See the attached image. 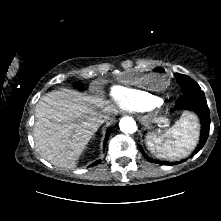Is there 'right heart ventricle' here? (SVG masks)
<instances>
[{
  "instance_id": "obj_1",
  "label": "right heart ventricle",
  "mask_w": 221,
  "mask_h": 221,
  "mask_svg": "<svg viewBox=\"0 0 221 221\" xmlns=\"http://www.w3.org/2000/svg\"><path fill=\"white\" fill-rule=\"evenodd\" d=\"M110 95L120 108L130 111L148 110L162 101L144 90L120 85L113 86Z\"/></svg>"
}]
</instances>
